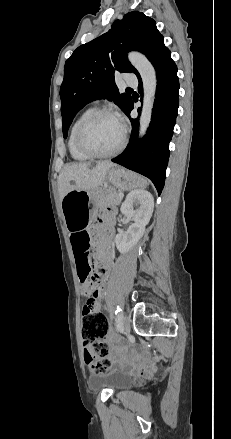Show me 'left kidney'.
<instances>
[{"instance_id":"1","label":"left kidney","mask_w":231,"mask_h":439,"mask_svg":"<svg viewBox=\"0 0 231 439\" xmlns=\"http://www.w3.org/2000/svg\"><path fill=\"white\" fill-rule=\"evenodd\" d=\"M134 206H139L134 210ZM154 199L146 190H133L122 203L121 214L134 221L126 232H120L115 237L116 247L121 253L132 249L145 232V226L149 223L153 213Z\"/></svg>"}]
</instances>
